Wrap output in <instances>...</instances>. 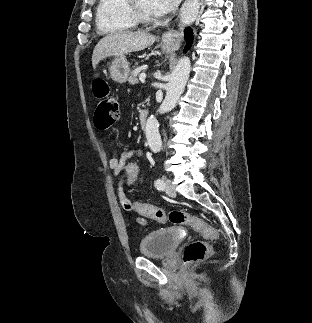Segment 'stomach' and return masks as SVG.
Instances as JSON below:
<instances>
[{
    "instance_id": "0dacf381",
    "label": "stomach",
    "mask_w": 312,
    "mask_h": 323,
    "mask_svg": "<svg viewBox=\"0 0 312 323\" xmlns=\"http://www.w3.org/2000/svg\"><path fill=\"white\" fill-rule=\"evenodd\" d=\"M165 44L166 42L162 40L163 50H165L166 48ZM109 72L110 78H112L114 82H118V84H123V82H126L130 74V68L126 60V56H119V58H114L112 64H110Z\"/></svg>"
}]
</instances>
